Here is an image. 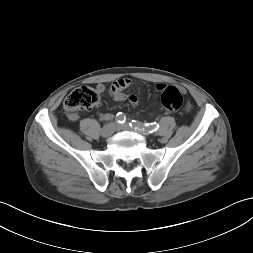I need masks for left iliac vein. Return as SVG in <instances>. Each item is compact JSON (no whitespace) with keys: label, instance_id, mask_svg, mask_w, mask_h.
Wrapping results in <instances>:
<instances>
[{"label":"left iliac vein","instance_id":"left-iliac-vein-1","mask_svg":"<svg viewBox=\"0 0 253 253\" xmlns=\"http://www.w3.org/2000/svg\"><path fill=\"white\" fill-rule=\"evenodd\" d=\"M121 129H123V130H132V131H135V132H137L141 135H144V136H148V134H149V133L141 130L140 128H134V127L129 126L128 124L122 125Z\"/></svg>","mask_w":253,"mask_h":253}]
</instances>
